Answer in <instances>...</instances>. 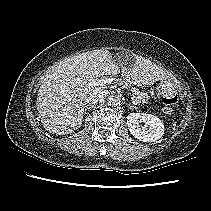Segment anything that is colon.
<instances>
[{
  "mask_svg": "<svg viewBox=\"0 0 211 211\" xmlns=\"http://www.w3.org/2000/svg\"><path fill=\"white\" fill-rule=\"evenodd\" d=\"M178 101V96L177 95H171V96H166L162 99L163 105H164V110L167 113L172 112V106L176 104Z\"/></svg>",
  "mask_w": 211,
  "mask_h": 211,
  "instance_id": "1",
  "label": "colon"
}]
</instances>
